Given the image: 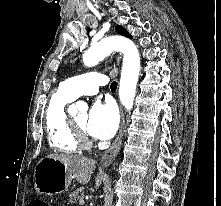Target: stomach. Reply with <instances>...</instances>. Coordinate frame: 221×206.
I'll list each match as a JSON object with an SVG mask.
<instances>
[{
	"label": "stomach",
	"instance_id": "0dacf381",
	"mask_svg": "<svg viewBox=\"0 0 221 206\" xmlns=\"http://www.w3.org/2000/svg\"><path fill=\"white\" fill-rule=\"evenodd\" d=\"M72 179V174L63 162L45 157L35 167L34 189L38 194H59L68 189Z\"/></svg>",
	"mask_w": 221,
	"mask_h": 206
}]
</instances>
